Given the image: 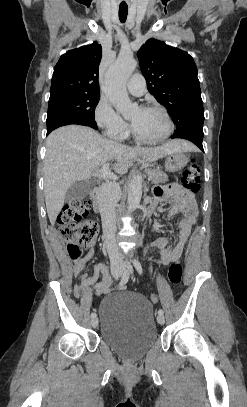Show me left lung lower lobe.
<instances>
[{
    "instance_id": "0a47b994",
    "label": "left lung lower lobe",
    "mask_w": 247,
    "mask_h": 407,
    "mask_svg": "<svg viewBox=\"0 0 247 407\" xmlns=\"http://www.w3.org/2000/svg\"><path fill=\"white\" fill-rule=\"evenodd\" d=\"M203 121L195 120L178 127L171 138H182L193 142L203 152Z\"/></svg>"
}]
</instances>
